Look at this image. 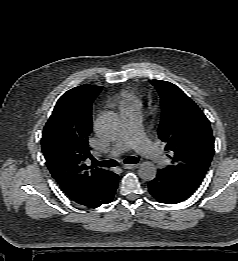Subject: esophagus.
I'll list each match as a JSON object with an SVG mask.
<instances>
[{
  "instance_id": "esophagus-1",
  "label": "esophagus",
  "mask_w": 238,
  "mask_h": 261,
  "mask_svg": "<svg viewBox=\"0 0 238 261\" xmlns=\"http://www.w3.org/2000/svg\"><path fill=\"white\" fill-rule=\"evenodd\" d=\"M139 165L138 164H124L123 168L124 169H135L137 168Z\"/></svg>"
}]
</instances>
